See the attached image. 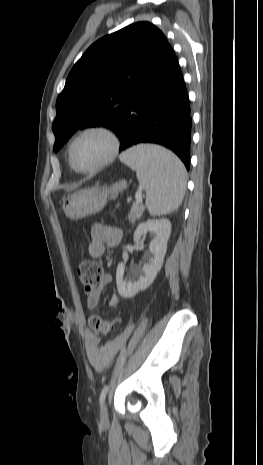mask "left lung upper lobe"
<instances>
[{
    "mask_svg": "<svg viewBox=\"0 0 263 465\" xmlns=\"http://www.w3.org/2000/svg\"><path fill=\"white\" fill-rule=\"evenodd\" d=\"M167 45L149 22L131 24L92 44L57 98L54 152L79 128L104 126L117 133L134 85Z\"/></svg>",
    "mask_w": 263,
    "mask_h": 465,
    "instance_id": "obj_1",
    "label": "left lung upper lobe"
}]
</instances>
